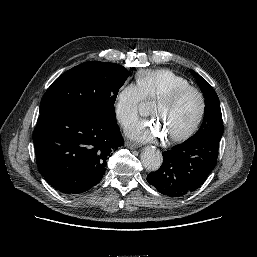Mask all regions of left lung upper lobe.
Here are the masks:
<instances>
[{
	"instance_id": "obj_1",
	"label": "left lung upper lobe",
	"mask_w": 257,
	"mask_h": 257,
	"mask_svg": "<svg viewBox=\"0 0 257 257\" xmlns=\"http://www.w3.org/2000/svg\"><path fill=\"white\" fill-rule=\"evenodd\" d=\"M190 72L196 78V81L204 94L206 105L201 128L188 140L211 138L220 141L224 128L218 96L212 86L203 77L193 70H190Z\"/></svg>"
}]
</instances>
